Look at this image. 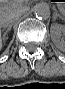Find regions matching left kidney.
I'll return each mask as SVG.
<instances>
[{
  "instance_id": "obj_1",
  "label": "left kidney",
  "mask_w": 65,
  "mask_h": 89,
  "mask_svg": "<svg viewBox=\"0 0 65 89\" xmlns=\"http://www.w3.org/2000/svg\"><path fill=\"white\" fill-rule=\"evenodd\" d=\"M58 29L59 32L52 36V40L59 50L65 51V27L63 25H59Z\"/></svg>"
}]
</instances>
